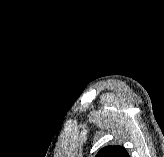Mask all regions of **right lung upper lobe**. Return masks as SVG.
Segmentation results:
<instances>
[{
    "label": "right lung upper lobe",
    "mask_w": 164,
    "mask_h": 157,
    "mask_svg": "<svg viewBox=\"0 0 164 157\" xmlns=\"http://www.w3.org/2000/svg\"><path fill=\"white\" fill-rule=\"evenodd\" d=\"M95 157H130L126 149L121 146H106Z\"/></svg>",
    "instance_id": "cb5924a9"
}]
</instances>
